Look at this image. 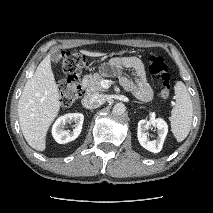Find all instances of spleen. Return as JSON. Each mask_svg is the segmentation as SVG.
Wrapping results in <instances>:
<instances>
[{
    "mask_svg": "<svg viewBox=\"0 0 213 213\" xmlns=\"http://www.w3.org/2000/svg\"><path fill=\"white\" fill-rule=\"evenodd\" d=\"M176 104L171 111V130L178 142L189 134L193 117L191 97L183 82L178 81L174 87Z\"/></svg>",
    "mask_w": 213,
    "mask_h": 213,
    "instance_id": "obj_1",
    "label": "spleen"
}]
</instances>
